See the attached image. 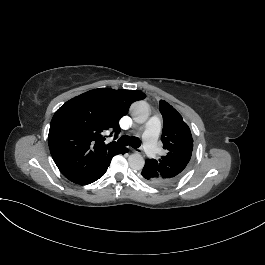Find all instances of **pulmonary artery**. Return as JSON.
Listing matches in <instances>:
<instances>
[{"mask_svg":"<svg viewBox=\"0 0 265 265\" xmlns=\"http://www.w3.org/2000/svg\"><path fill=\"white\" fill-rule=\"evenodd\" d=\"M145 126L148 131H146L144 134L145 140L143 142L142 149L145 152L150 153L149 157L152 160H155L158 157V154L156 153L158 146L156 137L159 133V125L156 121L149 119L146 121Z\"/></svg>","mask_w":265,"mask_h":265,"instance_id":"1","label":"pulmonary artery"}]
</instances>
